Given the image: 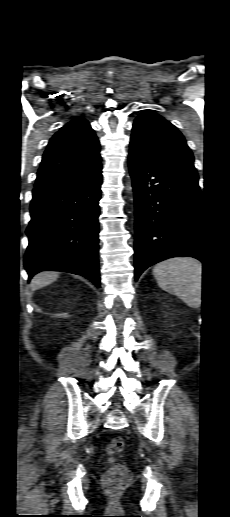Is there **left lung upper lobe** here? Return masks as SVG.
Returning <instances> with one entry per match:
<instances>
[{"label":"left lung upper lobe","instance_id":"obj_1","mask_svg":"<svg viewBox=\"0 0 230 517\" xmlns=\"http://www.w3.org/2000/svg\"><path fill=\"white\" fill-rule=\"evenodd\" d=\"M130 150L153 160L194 169V157L183 135L169 121L152 112L134 121Z\"/></svg>","mask_w":230,"mask_h":517}]
</instances>
